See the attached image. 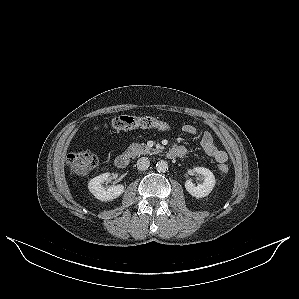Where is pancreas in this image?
<instances>
[{"label":"pancreas","mask_w":299,"mask_h":299,"mask_svg":"<svg viewBox=\"0 0 299 299\" xmlns=\"http://www.w3.org/2000/svg\"><path fill=\"white\" fill-rule=\"evenodd\" d=\"M126 153L129 154L131 157H136L140 155H148L155 153V149H152L145 144L132 143L127 148Z\"/></svg>","instance_id":"1"}]
</instances>
